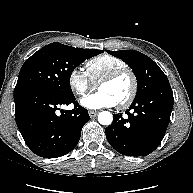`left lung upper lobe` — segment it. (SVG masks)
I'll return each mask as SVG.
<instances>
[{"instance_id":"obj_1","label":"left lung upper lobe","mask_w":193,"mask_h":193,"mask_svg":"<svg viewBox=\"0 0 193 193\" xmlns=\"http://www.w3.org/2000/svg\"><path fill=\"white\" fill-rule=\"evenodd\" d=\"M107 52L122 59L133 70L137 79V94L135 99L143 97L151 89L168 80L159 66L148 56L138 51L121 50Z\"/></svg>"}]
</instances>
